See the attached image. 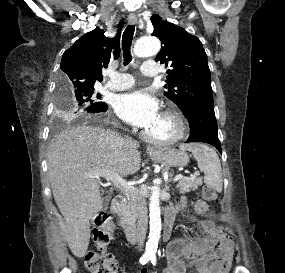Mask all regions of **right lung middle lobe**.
<instances>
[{"mask_svg":"<svg viewBox=\"0 0 285 273\" xmlns=\"http://www.w3.org/2000/svg\"><path fill=\"white\" fill-rule=\"evenodd\" d=\"M100 99L101 95L95 93L94 87L71 88L63 77L59 78L57 108L59 115L64 119L75 120L91 113H98L105 104Z\"/></svg>","mask_w":285,"mask_h":273,"instance_id":"right-lung-middle-lobe-1","label":"right lung middle lobe"}]
</instances>
